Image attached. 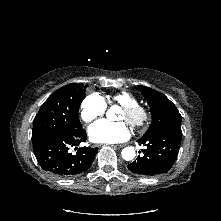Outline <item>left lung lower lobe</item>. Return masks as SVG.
Segmentation results:
<instances>
[{"label":"left lung lower lobe","mask_w":221,"mask_h":221,"mask_svg":"<svg viewBox=\"0 0 221 221\" xmlns=\"http://www.w3.org/2000/svg\"><path fill=\"white\" fill-rule=\"evenodd\" d=\"M181 130L162 129L137 142L147 146L142 150L143 155L127 165L128 169L138 175L154 176L166 173L173 166L180 148Z\"/></svg>","instance_id":"left-lung-lower-lobe-1"}]
</instances>
